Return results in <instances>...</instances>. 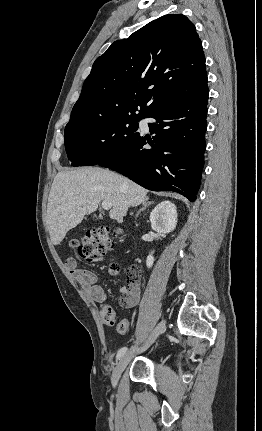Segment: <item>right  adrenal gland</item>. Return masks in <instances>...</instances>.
Masks as SVG:
<instances>
[{
    "label": "right adrenal gland",
    "instance_id": "obj_1",
    "mask_svg": "<svg viewBox=\"0 0 262 431\" xmlns=\"http://www.w3.org/2000/svg\"><path fill=\"white\" fill-rule=\"evenodd\" d=\"M153 204V201H148V198L145 202H143V207L137 212L136 218H138L141 211L145 210L149 205Z\"/></svg>",
    "mask_w": 262,
    "mask_h": 431
}]
</instances>
